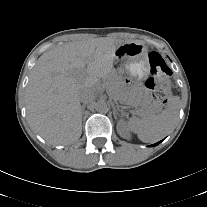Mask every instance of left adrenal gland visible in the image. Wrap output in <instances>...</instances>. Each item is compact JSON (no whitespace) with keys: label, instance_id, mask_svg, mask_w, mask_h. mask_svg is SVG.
<instances>
[{"label":"left adrenal gland","instance_id":"a2214340","mask_svg":"<svg viewBox=\"0 0 207 207\" xmlns=\"http://www.w3.org/2000/svg\"><path fill=\"white\" fill-rule=\"evenodd\" d=\"M117 107L113 102H112V108H113V114L114 118L117 119Z\"/></svg>","mask_w":207,"mask_h":207}]
</instances>
